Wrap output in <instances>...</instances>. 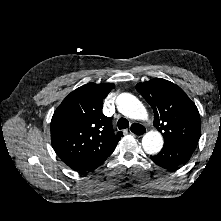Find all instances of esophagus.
<instances>
[{
    "instance_id": "esophagus-1",
    "label": "esophagus",
    "mask_w": 221,
    "mask_h": 221,
    "mask_svg": "<svg viewBox=\"0 0 221 221\" xmlns=\"http://www.w3.org/2000/svg\"><path fill=\"white\" fill-rule=\"evenodd\" d=\"M129 131L135 137H142L146 133L145 127L138 123L132 124Z\"/></svg>"
}]
</instances>
